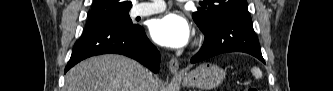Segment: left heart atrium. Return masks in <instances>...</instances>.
Masks as SVG:
<instances>
[{"instance_id":"39dd6f15","label":"left heart atrium","mask_w":333,"mask_h":91,"mask_svg":"<svg viewBox=\"0 0 333 91\" xmlns=\"http://www.w3.org/2000/svg\"><path fill=\"white\" fill-rule=\"evenodd\" d=\"M149 31L156 43L168 48H182L186 46L191 36V28L188 21L176 13H170L154 19Z\"/></svg>"}]
</instances>
